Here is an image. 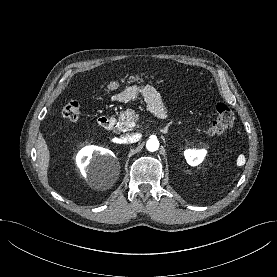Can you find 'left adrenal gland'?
<instances>
[{"mask_svg":"<svg viewBox=\"0 0 277 277\" xmlns=\"http://www.w3.org/2000/svg\"><path fill=\"white\" fill-rule=\"evenodd\" d=\"M170 126V123H168L164 130H161L162 133L166 134L168 133V127Z\"/></svg>","mask_w":277,"mask_h":277,"instance_id":"1","label":"left adrenal gland"}]
</instances>
